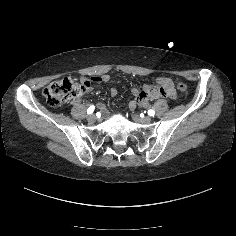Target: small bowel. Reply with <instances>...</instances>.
Returning a JSON list of instances; mask_svg holds the SVG:
<instances>
[{
  "label": "small bowel",
  "mask_w": 236,
  "mask_h": 236,
  "mask_svg": "<svg viewBox=\"0 0 236 236\" xmlns=\"http://www.w3.org/2000/svg\"><path fill=\"white\" fill-rule=\"evenodd\" d=\"M109 79H110V77H109L108 75H104V76H102V77H100V78H96V81L107 82V81H109ZM160 81H161L162 83H170V82H171L170 79H168V78H161ZM110 94H111L112 96L116 95V90H115V89H111V90H110ZM140 101H141V100H140ZM79 102H80L79 99H76V100H75V104H78ZM140 103H141V102H140ZM142 103H143V102H142Z\"/></svg>",
  "instance_id": "small-bowel-1"
}]
</instances>
